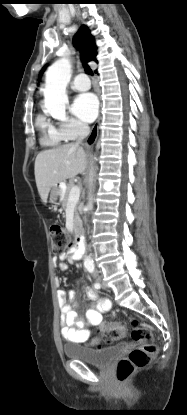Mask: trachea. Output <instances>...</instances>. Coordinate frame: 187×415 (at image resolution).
<instances>
[{"label":"trachea","instance_id":"obj_1","mask_svg":"<svg viewBox=\"0 0 187 415\" xmlns=\"http://www.w3.org/2000/svg\"><path fill=\"white\" fill-rule=\"evenodd\" d=\"M82 62H83V65H84V70H85V72L87 73V74H89V75H93V71H92V69L89 67V65L85 62V60H84V58L82 57Z\"/></svg>","mask_w":187,"mask_h":415}]
</instances>
